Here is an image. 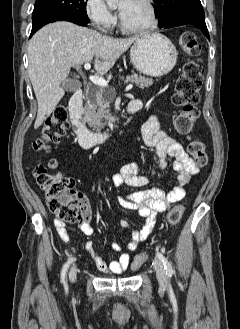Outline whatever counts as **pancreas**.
<instances>
[{"label": "pancreas", "instance_id": "1", "mask_svg": "<svg viewBox=\"0 0 240 329\" xmlns=\"http://www.w3.org/2000/svg\"><path fill=\"white\" fill-rule=\"evenodd\" d=\"M125 81L133 82L142 89L153 84V79L137 74L127 76ZM95 91V95H91L89 90L86 92L85 118L93 131L100 132L107 125V121H114L109 110L114 94L103 87H96Z\"/></svg>", "mask_w": 240, "mask_h": 329}]
</instances>
